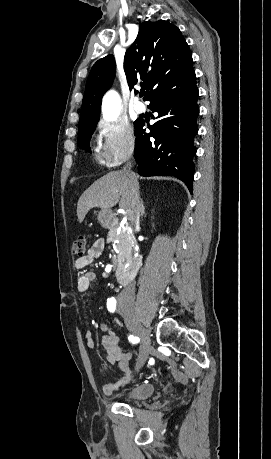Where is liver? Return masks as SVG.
I'll use <instances>...</instances> for the list:
<instances>
[{
  "label": "liver",
  "instance_id": "1",
  "mask_svg": "<svg viewBox=\"0 0 271 459\" xmlns=\"http://www.w3.org/2000/svg\"><path fill=\"white\" fill-rule=\"evenodd\" d=\"M134 184V176L130 178V174H125L123 170L109 172L100 180H96L78 200L77 216L80 224L91 208L110 210L119 202L121 210H132Z\"/></svg>",
  "mask_w": 271,
  "mask_h": 459
}]
</instances>
